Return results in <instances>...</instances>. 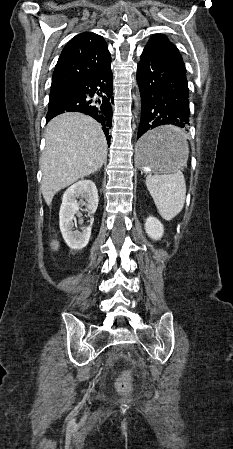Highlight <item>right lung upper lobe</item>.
Returning a JSON list of instances; mask_svg holds the SVG:
<instances>
[{
	"instance_id": "right-lung-upper-lobe-1",
	"label": "right lung upper lobe",
	"mask_w": 233,
	"mask_h": 449,
	"mask_svg": "<svg viewBox=\"0 0 233 449\" xmlns=\"http://www.w3.org/2000/svg\"><path fill=\"white\" fill-rule=\"evenodd\" d=\"M110 61L107 44L100 35L92 32L78 34L66 44L58 59L51 90L69 88Z\"/></svg>"
}]
</instances>
